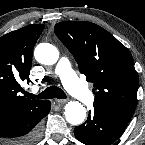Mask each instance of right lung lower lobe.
Here are the masks:
<instances>
[{
    "mask_svg": "<svg viewBox=\"0 0 145 145\" xmlns=\"http://www.w3.org/2000/svg\"><path fill=\"white\" fill-rule=\"evenodd\" d=\"M50 101L44 100L38 107L24 111L14 118L0 121V139L10 145H33L40 137V121L50 111Z\"/></svg>",
    "mask_w": 145,
    "mask_h": 145,
    "instance_id": "obj_1",
    "label": "right lung lower lobe"
}]
</instances>
